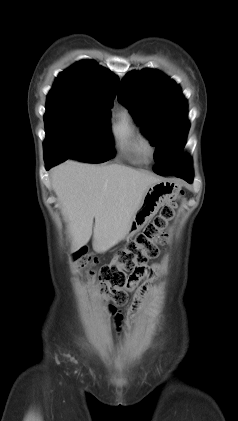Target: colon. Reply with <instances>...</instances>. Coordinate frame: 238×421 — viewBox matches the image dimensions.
I'll return each instance as SVG.
<instances>
[{
    "instance_id": "obj_1",
    "label": "colon",
    "mask_w": 238,
    "mask_h": 421,
    "mask_svg": "<svg viewBox=\"0 0 238 421\" xmlns=\"http://www.w3.org/2000/svg\"><path fill=\"white\" fill-rule=\"evenodd\" d=\"M176 208L177 201L164 206L143 232L119 249L112 260L100 269V283L117 304L124 302L125 292L132 288L131 275L158 256L159 246L167 239V228L175 216ZM77 257L81 260V266L90 261L82 250L77 253Z\"/></svg>"
}]
</instances>
